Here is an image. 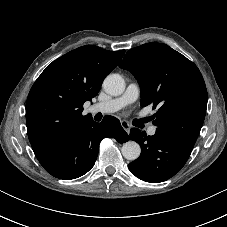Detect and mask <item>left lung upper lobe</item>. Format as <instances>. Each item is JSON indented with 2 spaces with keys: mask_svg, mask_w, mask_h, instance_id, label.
I'll use <instances>...</instances> for the list:
<instances>
[{
  "mask_svg": "<svg viewBox=\"0 0 227 227\" xmlns=\"http://www.w3.org/2000/svg\"><path fill=\"white\" fill-rule=\"evenodd\" d=\"M119 67L130 71L141 87V105L158 111V131L193 148L204 122L207 90L197 66L166 44L151 42L130 49Z\"/></svg>",
  "mask_w": 227,
  "mask_h": 227,
  "instance_id": "5c2ea615",
  "label": "left lung upper lobe"
}]
</instances>
